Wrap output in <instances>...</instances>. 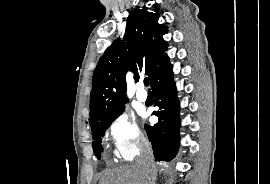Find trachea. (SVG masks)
I'll use <instances>...</instances> for the list:
<instances>
[{
	"label": "trachea",
	"mask_w": 270,
	"mask_h": 184,
	"mask_svg": "<svg viewBox=\"0 0 270 184\" xmlns=\"http://www.w3.org/2000/svg\"><path fill=\"white\" fill-rule=\"evenodd\" d=\"M144 85H145V86H149V79H148V78H145V79H144Z\"/></svg>",
	"instance_id": "1"
}]
</instances>
